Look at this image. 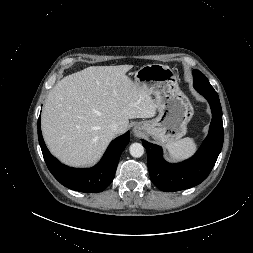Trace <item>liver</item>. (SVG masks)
<instances>
[{
	"label": "liver",
	"instance_id": "obj_1",
	"mask_svg": "<svg viewBox=\"0 0 253 253\" xmlns=\"http://www.w3.org/2000/svg\"><path fill=\"white\" fill-rule=\"evenodd\" d=\"M133 65L90 66L60 80L49 92L41 114L44 140L63 163L83 167L95 163L129 119L151 118V94L126 73ZM111 123L119 131L108 129Z\"/></svg>",
	"mask_w": 253,
	"mask_h": 253
}]
</instances>
